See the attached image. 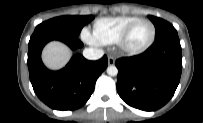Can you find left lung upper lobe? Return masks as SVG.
I'll return each instance as SVG.
<instances>
[{
  "mask_svg": "<svg viewBox=\"0 0 203 123\" xmlns=\"http://www.w3.org/2000/svg\"><path fill=\"white\" fill-rule=\"evenodd\" d=\"M149 19L155 26L156 39H159L167 34L177 33L176 29L169 22L154 16H149Z\"/></svg>",
  "mask_w": 203,
  "mask_h": 123,
  "instance_id": "1",
  "label": "left lung upper lobe"
}]
</instances>
